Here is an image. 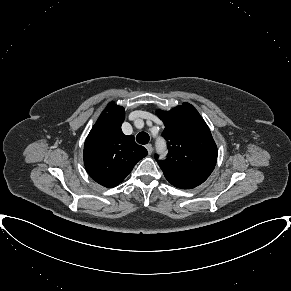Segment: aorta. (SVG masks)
I'll return each instance as SVG.
<instances>
[{"mask_svg": "<svg viewBox=\"0 0 291 291\" xmlns=\"http://www.w3.org/2000/svg\"><path fill=\"white\" fill-rule=\"evenodd\" d=\"M156 149L159 153H165L166 144L163 138H158L156 141Z\"/></svg>", "mask_w": 291, "mask_h": 291, "instance_id": "aorta-1", "label": "aorta"}]
</instances>
